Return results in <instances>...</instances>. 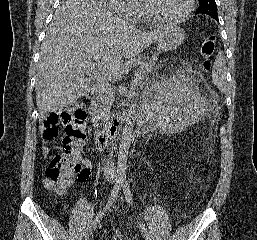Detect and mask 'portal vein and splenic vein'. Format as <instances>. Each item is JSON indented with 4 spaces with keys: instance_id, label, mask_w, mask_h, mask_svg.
Masks as SVG:
<instances>
[{
    "instance_id": "1",
    "label": "portal vein and splenic vein",
    "mask_w": 257,
    "mask_h": 240,
    "mask_svg": "<svg viewBox=\"0 0 257 240\" xmlns=\"http://www.w3.org/2000/svg\"><path fill=\"white\" fill-rule=\"evenodd\" d=\"M84 71H86L88 73H93L94 76L98 79V81H99L100 85L103 87V89L110 91L109 87L106 84V81L103 78V71L101 70V65L99 62L85 63Z\"/></svg>"
}]
</instances>
